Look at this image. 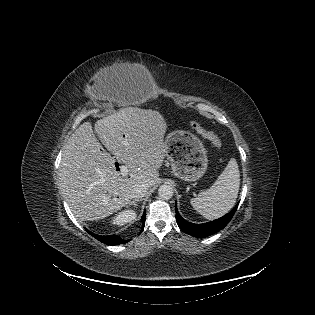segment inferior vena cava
Listing matches in <instances>:
<instances>
[{"label":"inferior vena cava","mask_w":315,"mask_h":315,"mask_svg":"<svg viewBox=\"0 0 315 315\" xmlns=\"http://www.w3.org/2000/svg\"><path fill=\"white\" fill-rule=\"evenodd\" d=\"M149 188H150L149 184L145 183V182H142V183L136 185L132 191L133 198L141 199L142 197L145 196V194Z\"/></svg>","instance_id":"inferior-vena-cava-1"}]
</instances>
